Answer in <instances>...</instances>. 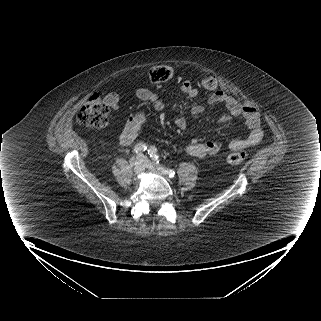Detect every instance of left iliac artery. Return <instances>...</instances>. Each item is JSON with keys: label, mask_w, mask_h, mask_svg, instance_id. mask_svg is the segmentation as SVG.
I'll list each match as a JSON object with an SVG mask.
<instances>
[{"label": "left iliac artery", "mask_w": 321, "mask_h": 321, "mask_svg": "<svg viewBox=\"0 0 321 321\" xmlns=\"http://www.w3.org/2000/svg\"><path fill=\"white\" fill-rule=\"evenodd\" d=\"M148 154L150 155V157L152 158V160L154 161V163L156 165H158V168L163 170L165 172V174H167L170 178L175 177L176 173L174 170L171 169H166L163 166L159 165V155L157 152V148L155 146H151L150 149L148 150Z\"/></svg>", "instance_id": "44dca946"}]
</instances>
